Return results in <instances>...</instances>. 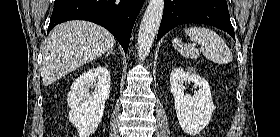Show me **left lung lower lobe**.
Segmentation results:
<instances>
[{
	"label": "left lung lower lobe",
	"instance_id": "1",
	"mask_svg": "<svg viewBox=\"0 0 280 137\" xmlns=\"http://www.w3.org/2000/svg\"><path fill=\"white\" fill-rule=\"evenodd\" d=\"M164 8L157 40L169 30L185 23L211 25L235 39L226 0H165Z\"/></svg>",
	"mask_w": 280,
	"mask_h": 137
}]
</instances>
